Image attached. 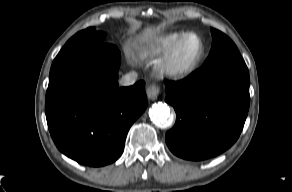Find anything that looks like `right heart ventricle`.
<instances>
[{
  "label": "right heart ventricle",
  "instance_id": "e07e8e85",
  "mask_svg": "<svg viewBox=\"0 0 292 192\" xmlns=\"http://www.w3.org/2000/svg\"><path fill=\"white\" fill-rule=\"evenodd\" d=\"M186 32H170L164 35L158 36L147 43L144 48L143 53L152 57H165L176 42L185 34Z\"/></svg>",
  "mask_w": 292,
  "mask_h": 192
}]
</instances>
